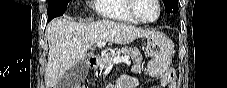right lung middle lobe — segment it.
Masks as SVG:
<instances>
[{
    "label": "right lung middle lobe",
    "instance_id": "dd1d6c3e",
    "mask_svg": "<svg viewBox=\"0 0 227 88\" xmlns=\"http://www.w3.org/2000/svg\"><path fill=\"white\" fill-rule=\"evenodd\" d=\"M70 0H48V20L63 15Z\"/></svg>",
    "mask_w": 227,
    "mask_h": 88
}]
</instances>
